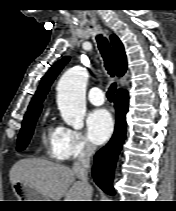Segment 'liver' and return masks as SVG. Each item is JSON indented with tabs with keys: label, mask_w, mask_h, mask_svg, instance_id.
<instances>
[{
	"label": "liver",
	"mask_w": 176,
	"mask_h": 211,
	"mask_svg": "<svg viewBox=\"0 0 176 211\" xmlns=\"http://www.w3.org/2000/svg\"><path fill=\"white\" fill-rule=\"evenodd\" d=\"M68 166L39 158L21 159L10 170L11 184L25 183L43 194L47 199L60 201H90L92 187L87 188Z\"/></svg>",
	"instance_id": "obj_1"
}]
</instances>
